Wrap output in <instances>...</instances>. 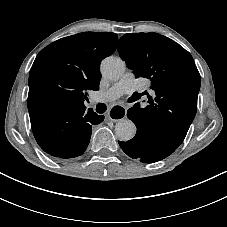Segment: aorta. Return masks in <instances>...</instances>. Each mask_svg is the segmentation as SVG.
Returning <instances> with one entry per match:
<instances>
[{
	"mask_svg": "<svg viewBox=\"0 0 227 227\" xmlns=\"http://www.w3.org/2000/svg\"><path fill=\"white\" fill-rule=\"evenodd\" d=\"M125 68V63L116 56L106 57L100 65L101 74L110 80L119 79L124 74ZM115 133L121 141H128L135 136L136 126L132 121L122 119L115 125Z\"/></svg>",
	"mask_w": 227,
	"mask_h": 227,
	"instance_id": "obj_1",
	"label": "aorta"
}]
</instances>
